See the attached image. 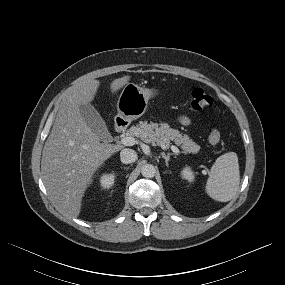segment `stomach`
<instances>
[{
  "label": "stomach",
  "instance_id": "0dacf381",
  "mask_svg": "<svg viewBox=\"0 0 285 285\" xmlns=\"http://www.w3.org/2000/svg\"><path fill=\"white\" fill-rule=\"evenodd\" d=\"M158 95V90L147 89L134 83H128L118 98V116L127 122L139 118L145 113L150 98Z\"/></svg>",
  "mask_w": 285,
  "mask_h": 285
}]
</instances>
